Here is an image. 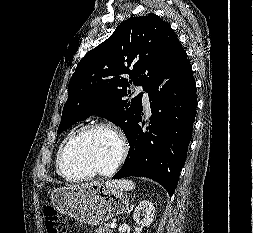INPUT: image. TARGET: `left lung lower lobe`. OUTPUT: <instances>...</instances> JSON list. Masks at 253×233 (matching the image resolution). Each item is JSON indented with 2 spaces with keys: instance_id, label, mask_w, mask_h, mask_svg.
<instances>
[{
  "instance_id": "0a47b994",
  "label": "left lung lower lobe",
  "mask_w": 253,
  "mask_h": 233,
  "mask_svg": "<svg viewBox=\"0 0 253 233\" xmlns=\"http://www.w3.org/2000/svg\"><path fill=\"white\" fill-rule=\"evenodd\" d=\"M152 116L142 122V106L126 136L130 145L123 167L114 179L148 177L173 195L196 115V83L187 54L181 43L173 50L162 76L148 89Z\"/></svg>"
}]
</instances>
